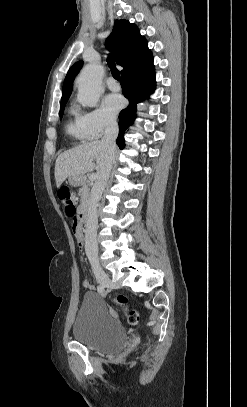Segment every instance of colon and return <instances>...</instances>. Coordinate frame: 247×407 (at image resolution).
I'll return each instance as SVG.
<instances>
[{
    "instance_id": "colon-1",
    "label": "colon",
    "mask_w": 247,
    "mask_h": 407,
    "mask_svg": "<svg viewBox=\"0 0 247 407\" xmlns=\"http://www.w3.org/2000/svg\"><path fill=\"white\" fill-rule=\"evenodd\" d=\"M58 196L62 201L65 214L74 216L76 213V196L73 190L68 186H62L58 189ZM114 304L124 310V317L131 325H136L139 322V313L135 310H128V299L123 295H118L113 298Z\"/></svg>"
}]
</instances>
